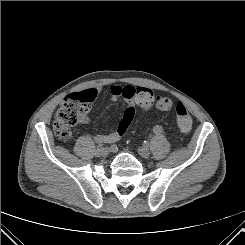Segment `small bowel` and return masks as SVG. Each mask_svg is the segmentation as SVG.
<instances>
[{
    "label": "small bowel",
    "mask_w": 245,
    "mask_h": 245,
    "mask_svg": "<svg viewBox=\"0 0 245 245\" xmlns=\"http://www.w3.org/2000/svg\"><path fill=\"white\" fill-rule=\"evenodd\" d=\"M137 88L138 87H134L131 85L120 86L114 84L110 86L111 100L117 101L119 98H124L127 102V108L123 113L118 128L109 134L94 136V140L96 142H98L99 144L113 143L118 141L121 136L126 132L135 115V106L137 104L135 101V91ZM153 100L155 102L156 108L160 111H169L174 106L173 99L169 96H165L164 94H155ZM82 122H89V117L84 116Z\"/></svg>",
    "instance_id": "small-bowel-1"
}]
</instances>
